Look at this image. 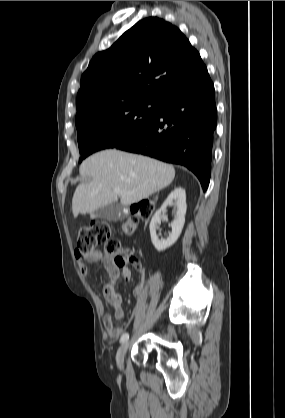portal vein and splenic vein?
Wrapping results in <instances>:
<instances>
[{
  "label": "portal vein and splenic vein",
  "instance_id": "18ae733b",
  "mask_svg": "<svg viewBox=\"0 0 285 418\" xmlns=\"http://www.w3.org/2000/svg\"><path fill=\"white\" fill-rule=\"evenodd\" d=\"M115 193H117V194H121L122 192H121L119 189H116V190H115Z\"/></svg>",
  "mask_w": 285,
  "mask_h": 418
}]
</instances>
